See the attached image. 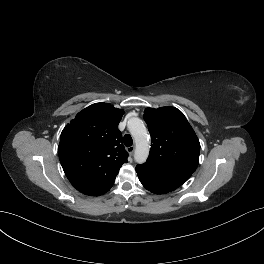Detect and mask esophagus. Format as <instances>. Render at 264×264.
Masks as SVG:
<instances>
[{"label": "esophagus", "mask_w": 264, "mask_h": 264, "mask_svg": "<svg viewBox=\"0 0 264 264\" xmlns=\"http://www.w3.org/2000/svg\"><path fill=\"white\" fill-rule=\"evenodd\" d=\"M127 151H128L131 155H133V153H134V151H135V147H134V146H130V147L127 148Z\"/></svg>", "instance_id": "obj_1"}]
</instances>
